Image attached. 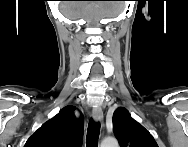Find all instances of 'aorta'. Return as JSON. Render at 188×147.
<instances>
[{
  "mask_svg": "<svg viewBox=\"0 0 188 147\" xmlns=\"http://www.w3.org/2000/svg\"><path fill=\"white\" fill-rule=\"evenodd\" d=\"M101 147H118V142L113 137H107L102 141Z\"/></svg>",
  "mask_w": 188,
  "mask_h": 147,
  "instance_id": "762f6f07",
  "label": "aorta"
}]
</instances>
